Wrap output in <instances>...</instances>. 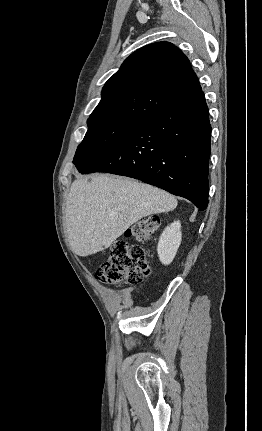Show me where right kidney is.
<instances>
[{"instance_id": "right-kidney-1", "label": "right kidney", "mask_w": 262, "mask_h": 431, "mask_svg": "<svg viewBox=\"0 0 262 431\" xmlns=\"http://www.w3.org/2000/svg\"><path fill=\"white\" fill-rule=\"evenodd\" d=\"M181 224L179 221H174L170 226L166 227L160 236L158 242V256L162 264L169 265L181 243Z\"/></svg>"}]
</instances>
